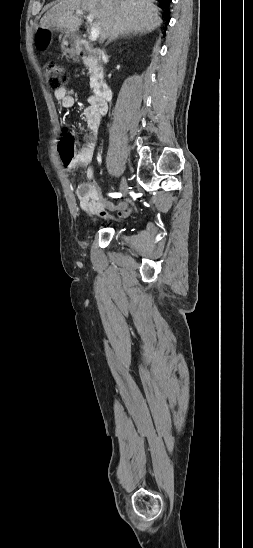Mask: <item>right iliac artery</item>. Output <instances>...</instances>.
Wrapping results in <instances>:
<instances>
[{
    "label": "right iliac artery",
    "mask_w": 253,
    "mask_h": 548,
    "mask_svg": "<svg viewBox=\"0 0 253 548\" xmlns=\"http://www.w3.org/2000/svg\"><path fill=\"white\" fill-rule=\"evenodd\" d=\"M109 196L113 197V198H119L122 196L121 193H109Z\"/></svg>",
    "instance_id": "1"
}]
</instances>
